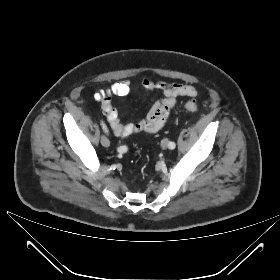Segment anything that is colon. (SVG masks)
Listing matches in <instances>:
<instances>
[{"mask_svg":"<svg viewBox=\"0 0 280 280\" xmlns=\"http://www.w3.org/2000/svg\"><path fill=\"white\" fill-rule=\"evenodd\" d=\"M185 108L190 112H195L198 109V106L195 102L189 101L185 104Z\"/></svg>","mask_w":280,"mask_h":280,"instance_id":"colon-1","label":"colon"}]
</instances>
